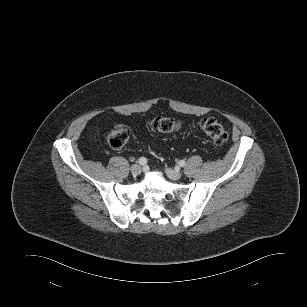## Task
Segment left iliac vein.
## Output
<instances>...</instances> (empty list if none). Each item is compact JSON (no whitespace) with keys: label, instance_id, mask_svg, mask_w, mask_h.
Returning <instances> with one entry per match:
<instances>
[{"label":"left iliac vein","instance_id":"left-iliac-vein-1","mask_svg":"<svg viewBox=\"0 0 307 307\" xmlns=\"http://www.w3.org/2000/svg\"><path fill=\"white\" fill-rule=\"evenodd\" d=\"M166 174L168 175V177L172 180H179L182 176L181 172L179 170L176 169H172V168H166Z\"/></svg>","mask_w":307,"mask_h":307}]
</instances>
